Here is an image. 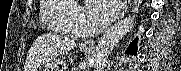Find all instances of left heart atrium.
<instances>
[{
    "mask_svg": "<svg viewBox=\"0 0 181 71\" xmlns=\"http://www.w3.org/2000/svg\"><path fill=\"white\" fill-rule=\"evenodd\" d=\"M121 1L98 0L91 1L87 6L90 19L97 24L109 23L118 13Z\"/></svg>",
    "mask_w": 181,
    "mask_h": 71,
    "instance_id": "obj_1",
    "label": "left heart atrium"
}]
</instances>
